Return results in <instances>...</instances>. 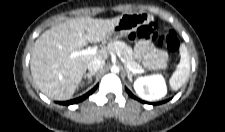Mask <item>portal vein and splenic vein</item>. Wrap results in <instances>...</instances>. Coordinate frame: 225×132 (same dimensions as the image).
I'll return each instance as SVG.
<instances>
[{"instance_id": "portal-vein-and-splenic-vein-1", "label": "portal vein and splenic vein", "mask_w": 225, "mask_h": 132, "mask_svg": "<svg viewBox=\"0 0 225 132\" xmlns=\"http://www.w3.org/2000/svg\"><path fill=\"white\" fill-rule=\"evenodd\" d=\"M97 53V50L95 48H88V49H85V50H81V51H75V52H72V57H76V56H81V55H94ZM123 61V60H122ZM124 62V61H123ZM125 63V62H124ZM127 69L133 73H142L143 70H135L133 69L131 66H129L127 63H125Z\"/></svg>"}]
</instances>
